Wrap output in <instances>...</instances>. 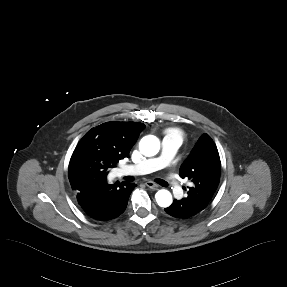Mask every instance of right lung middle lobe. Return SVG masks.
I'll return each instance as SVG.
<instances>
[{"label": "right lung middle lobe", "instance_id": "dd1d6c3e", "mask_svg": "<svg viewBox=\"0 0 287 287\" xmlns=\"http://www.w3.org/2000/svg\"><path fill=\"white\" fill-rule=\"evenodd\" d=\"M116 164L109 158L100 155L80 156L69 163V181H83L92 178H106L110 168Z\"/></svg>", "mask_w": 287, "mask_h": 287}]
</instances>
